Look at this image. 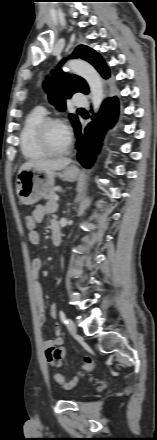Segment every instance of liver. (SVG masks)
I'll return each instance as SVG.
<instances>
[{
    "label": "liver",
    "instance_id": "6515ba94",
    "mask_svg": "<svg viewBox=\"0 0 157 440\" xmlns=\"http://www.w3.org/2000/svg\"><path fill=\"white\" fill-rule=\"evenodd\" d=\"M71 162L72 160L69 158L35 159L24 163L20 167L19 172L31 168H36L44 171H60L66 168Z\"/></svg>",
    "mask_w": 157,
    "mask_h": 440
}]
</instances>
